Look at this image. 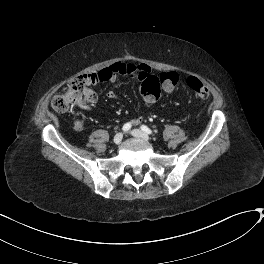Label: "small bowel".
Here are the masks:
<instances>
[{
  "label": "small bowel",
  "mask_w": 264,
  "mask_h": 264,
  "mask_svg": "<svg viewBox=\"0 0 264 264\" xmlns=\"http://www.w3.org/2000/svg\"><path fill=\"white\" fill-rule=\"evenodd\" d=\"M124 66L128 72L125 74L133 80L143 82L146 78L154 76L151 68L146 64H135V63H122V64H112L104 69L90 73L86 75L85 80L89 83H103V82H115L117 80L119 68ZM170 92L172 90H167ZM108 96L111 99H116V94L113 91L108 92ZM144 102H149L143 98ZM135 124L139 123V120L134 121Z\"/></svg>",
  "instance_id": "1"
}]
</instances>
